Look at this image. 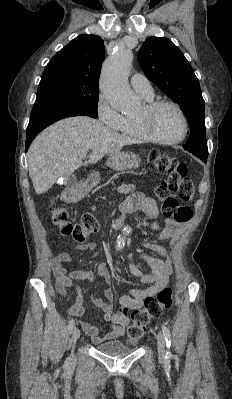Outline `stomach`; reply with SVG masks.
Returning <instances> with one entry per match:
<instances>
[{"label": "stomach", "instance_id": "0dacf381", "mask_svg": "<svg viewBox=\"0 0 232 399\" xmlns=\"http://www.w3.org/2000/svg\"><path fill=\"white\" fill-rule=\"evenodd\" d=\"M106 164L109 168H112V170L124 172V170H135V168H139L141 160L139 156H136L133 152H116V154H111V156H109ZM99 182L100 174H90L87 182L84 184L86 192H90ZM78 196V200L83 198V192H79Z\"/></svg>", "mask_w": 232, "mask_h": 399}]
</instances>
